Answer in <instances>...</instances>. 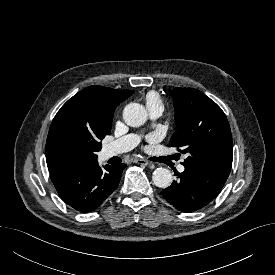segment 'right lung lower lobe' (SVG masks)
Wrapping results in <instances>:
<instances>
[{
  "label": "right lung lower lobe",
  "instance_id": "obj_1",
  "mask_svg": "<svg viewBox=\"0 0 275 275\" xmlns=\"http://www.w3.org/2000/svg\"><path fill=\"white\" fill-rule=\"evenodd\" d=\"M126 164L105 165L98 162L63 167L51 172V180L64 202L80 212H91L117 188Z\"/></svg>",
  "mask_w": 275,
  "mask_h": 275
}]
</instances>
